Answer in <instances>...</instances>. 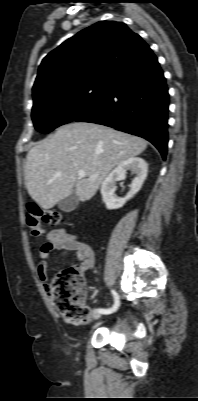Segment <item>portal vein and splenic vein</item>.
I'll list each match as a JSON object with an SVG mask.
<instances>
[{"instance_id":"portal-vein-and-splenic-vein-1","label":"portal vein and splenic vein","mask_w":198,"mask_h":401,"mask_svg":"<svg viewBox=\"0 0 198 401\" xmlns=\"http://www.w3.org/2000/svg\"><path fill=\"white\" fill-rule=\"evenodd\" d=\"M78 176H79L80 178H84V177L86 176L85 171L79 170V171H78ZM90 178H93V176H90Z\"/></svg>"}]
</instances>
